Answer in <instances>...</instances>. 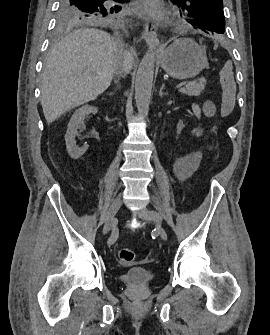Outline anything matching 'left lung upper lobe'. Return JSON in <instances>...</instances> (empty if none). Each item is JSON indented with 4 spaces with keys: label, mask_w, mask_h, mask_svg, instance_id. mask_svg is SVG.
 <instances>
[{
    "label": "left lung upper lobe",
    "mask_w": 270,
    "mask_h": 335,
    "mask_svg": "<svg viewBox=\"0 0 270 335\" xmlns=\"http://www.w3.org/2000/svg\"><path fill=\"white\" fill-rule=\"evenodd\" d=\"M187 14L189 23L204 32L223 34L225 18L222 0H171Z\"/></svg>",
    "instance_id": "5c2ea615"
}]
</instances>
